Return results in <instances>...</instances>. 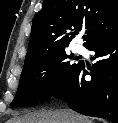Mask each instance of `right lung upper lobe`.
I'll return each instance as SVG.
<instances>
[{"label":"right lung upper lobe","mask_w":118,"mask_h":123,"mask_svg":"<svg viewBox=\"0 0 118 123\" xmlns=\"http://www.w3.org/2000/svg\"><path fill=\"white\" fill-rule=\"evenodd\" d=\"M84 28L86 48L118 34V0H44L33 18L24 65L66 49Z\"/></svg>","instance_id":"right-lung-upper-lobe-1"}]
</instances>
